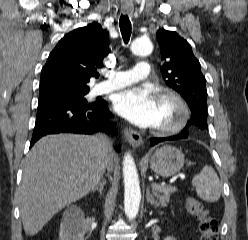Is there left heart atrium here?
Masks as SVG:
<instances>
[{
	"mask_svg": "<svg viewBox=\"0 0 248 240\" xmlns=\"http://www.w3.org/2000/svg\"><path fill=\"white\" fill-rule=\"evenodd\" d=\"M115 111L141 127H157L160 122L158 97L156 93L143 87H131L117 94Z\"/></svg>",
	"mask_w": 248,
	"mask_h": 240,
	"instance_id": "obj_1",
	"label": "left heart atrium"
}]
</instances>
